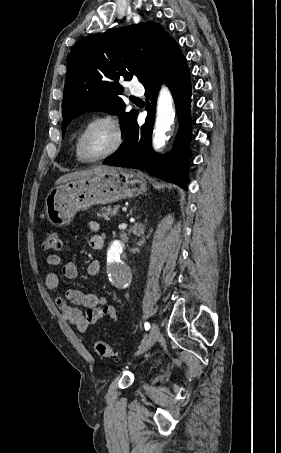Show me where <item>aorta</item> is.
Segmentation results:
<instances>
[{"label": "aorta", "mask_w": 281, "mask_h": 453, "mask_svg": "<svg viewBox=\"0 0 281 453\" xmlns=\"http://www.w3.org/2000/svg\"><path fill=\"white\" fill-rule=\"evenodd\" d=\"M173 103L174 100L170 90L163 85L157 99L156 120L152 138V145L156 151L161 149L169 139L167 133L171 130L175 119ZM124 246V242L115 240L107 251V262L112 265L108 275L109 281L119 289L128 287L132 279L130 269L126 265L120 264V255Z\"/></svg>", "instance_id": "762f6f07"}]
</instances>
